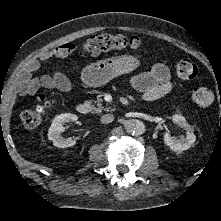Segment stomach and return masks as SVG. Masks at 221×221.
<instances>
[{
	"instance_id": "1",
	"label": "stomach",
	"mask_w": 221,
	"mask_h": 221,
	"mask_svg": "<svg viewBox=\"0 0 221 221\" xmlns=\"http://www.w3.org/2000/svg\"><path fill=\"white\" fill-rule=\"evenodd\" d=\"M140 61L132 55H118L99 60L86 66L81 74L82 81L90 87H99L110 80L137 69Z\"/></svg>"
}]
</instances>
